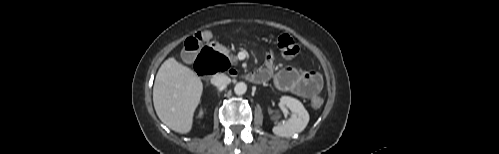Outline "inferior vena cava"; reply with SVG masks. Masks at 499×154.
Masks as SVG:
<instances>
[{
	"instance_id": "602c4592",
	"label": "inferior vena cava",
	"mask_w": 499,
	"mask_h": 154,
	"mask_svg": "<svg viewBox=\"0 0 499 154\" xmlns=\"http://www.w3.org/2000/svg\"><path fill=\"white\" fill-rule=\"evenodd\" d=\"M231 82V79L224 75L218 74L211 78V83L217 87H226Z\"/></svg>"
}]
</instances>
